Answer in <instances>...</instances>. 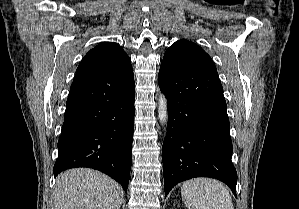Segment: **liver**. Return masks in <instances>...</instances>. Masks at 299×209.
I'll return each instance as SVG.
<instances>
[{"mask_svg": "<svg viewBox=\"0 0 299 209\" xmlns=\"http://www.w3.org/2000/svg\"><path fill=\"white\" fill-rule=\"evenodd\" d=\"M122 187L96 170L71 169L60 174L54 189L55 209H120Z\"/></svg>", "mask_w": 299, "mask_h": 209, "instance_id": "1", "label": "liver"}]
</instances>
